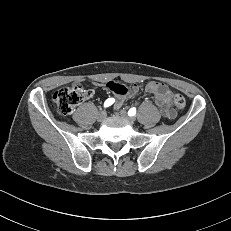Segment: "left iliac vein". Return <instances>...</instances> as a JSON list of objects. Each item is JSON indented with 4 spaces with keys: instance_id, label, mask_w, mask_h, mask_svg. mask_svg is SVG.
Returning a JSON list of instances; mask_svg holds the SVG:
<instances>
[{
    "instance_id": "1",
    "label": "left iliac vein",
    "mask_w": 231,
    "mask_h": 231,
    "mask_svg": "<svg viewBox=\"0 0 231 231\" xmlns=\"http://www.w3.org/2000/svg\"><path fill=\"white\" fill-rule=\"evenodd\" d=\"M120 115L123 118L127 119L128 121H131V122L135 121V117L134 116H129L125 110H120Z\"/></svg>"
}]
</instances>
